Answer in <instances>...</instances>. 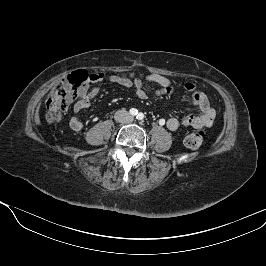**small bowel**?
I'll return each instance as SVG.
<instances>
[{"instance_id": "small-bowel-1", "label": "small bowel", "mask_w": 266, "mask_h": 266, "mask_svg": "<svg viewBox=\"0 0 266 266\" xmlns=\"http://www.w3.org/2000/svg\"><path fill=\"white\" fill-rule=\"evenodd\" d=\"M93 76V82H110L127 88H134L136 95L142 100L148 99L150 96V94L144 90L141 78H136L131 81L125 77L107 75L103 72L94 73ZM145 79L159 86L153 93L155 96L168 95L173 91L171 81L163 75L151 73L148 74ZM184 88L192 93L190 105L198 107L199 113L188 115L181 119L170 118L165 123L166 127L172 131L177 130L181 126H188L195 129L211 127L215 118V110L211 107L207 96L203 92L197 90L192 83H185ZM98 93L99 88L97 86H93L92 88L88 86L83 87L79 92V100L73 106L74 114H78L80 111L87 109L91 105L92 99H94ZM69 125L75 131L83 129V123L76 115L70 118Z\"/></svg>"}]
</instances>
